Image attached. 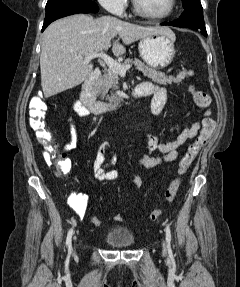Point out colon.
Wrapping results in <instances>:
<instances>
[{
  "instance_id": "obj_1",
  "label": "colon",
  "mask_w": 240,
  "mask_h": 287,
  "mask_svg": "<svg viewBox=\"0 0 240 287\" xmlns=\"http://www.w3.org/2000/svg\"><path fill=\"white\" fill-rule=\"evenodd\" d=\"M190 93L193 98L194 103L199 107L206 109L211 104V97L210 95L202 90H197L193 87L190 88ZM47 106L45 102L40 97H33L29 104V115H30V127L35 132L37 139L43 143L48 145L51 141V133L46 127L44 118L46 114ZM214 129V121L211 118H205L202 121V126L199 132V135L196 137L195 141L190 144L182 157L177 171V176L173 179L169 186L166 189L165 197L166 200L172 202L179 190L181 180L183 175L189 170L192 163L196 159L198 153L200 152L201 148L207 142L208 138L210 137L212 131ZM55 165L56 169L61 174H66L71 169V163L62 155L55 156ZM162 214L160 209L153 210L149 218L152 221L157 220ZM114 219L117 222H122L124 220L123 216L117 214ZM90 222L94 226L100 225V219L98 217H91Z\"/></svg>"
}]
</instances>
